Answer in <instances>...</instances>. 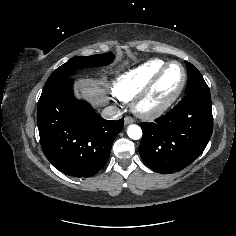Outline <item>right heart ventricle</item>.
<instances>
[{
  "label": "right heart ventricle",
  "instance_id": "1",
  "mask_svg": "<svg viewBox=\"0 0 236 236\" xmlns=\"http://www.w3.org/2000/svg\"><path fill=\"white\" fill-rule=\"evenodd\" d=\"M166 63L161 59H154L121 74L113 85V93L122 101H130Z\"/></svg>",
  "mask_w": 236,
  "mask_h": 236
}]
</instances>
